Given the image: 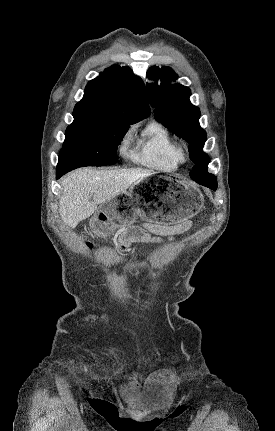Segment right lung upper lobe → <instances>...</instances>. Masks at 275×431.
I'll use <instances>...</instances> for the list:
<instances>
[{
    "label": "right lung upper lobe",
    "mask_w": 275,
    "mask_h": 431,
    "mask_svg": "<svg viewBox=\"0 0 275 431\" xmlns=\"http://www.w3.org/2000/svg\"><path fill=\"white\" fill-rule=\"evenodd\" d=\"M150 113L143 81L129 67L113 65L88 82L73 117L114 118L134 124Z\"/></svg>",
    "instance_id": "obj_1"
}]
</instances>
